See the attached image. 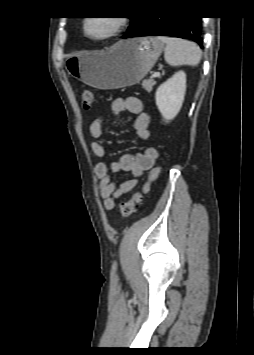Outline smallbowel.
<instances>
[{
	"label": "small bowel",
	"instance_id": "small-bowel-1",
	"mask_svg": "<svg viewBox=\"0 0 254 355\" xmlns=\"http://www.w3.org/2000/svg\"><path fill=\"white\" fill-rule=\"evenodd\" d=\"M127 111L135 115L133 128L137 138L141 141H147L150 138L149 124L150 117L143 112V103L137 97L116 98L111 103V112L120 114ZM91 136L90 147L92 152L98 158H105L106 149L102 144L103 138V119H95L89 127ZM159 157L158 151L154 147H146L141 153L122 154L118 161L107 164L99 162L95 166V174L99 178L100 196L103 200L104 209L110 211L115 206V200L123 194L129 193L135 189L139 178L143 173L151 169ZM126 171L131 174V178L122 182L120 185L111 179L112 173Z\"/></svg>",
	"mask_w": 254,
	"mask_h": 355
}]
</instances>
